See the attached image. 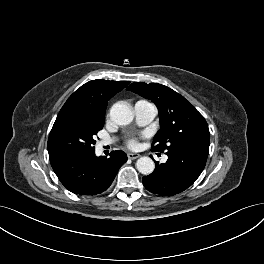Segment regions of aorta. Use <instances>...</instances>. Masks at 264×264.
I'll use <instances>...</instances> for the list:
<instances>
[{
  "label": "aorta",
  "mask_w": 264,
  "mask_h": 264,
  "mask_svg": "<svg viewBox=\"0 0 264 264\" xmlns=\"http://www.w3.org/2000/svg\"><path fill=\"white\" fill-rule=\"evenodd\" d=\"M133 111L131 107L125 103H116L110 109V118L117 125H128L133 120ZM137 170L144 174L149 175L154 171V161L147 156L141 157L136 162Z\"/></svg>",
  "instance_id": "762f6f07"
}]
</instances>
